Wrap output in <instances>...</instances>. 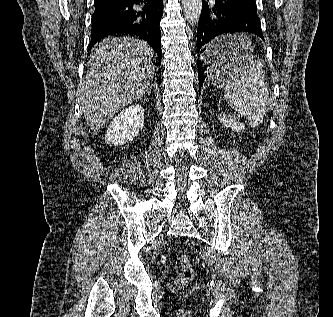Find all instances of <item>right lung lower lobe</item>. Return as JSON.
I'll use <instances>...</instances> for the list:
<instances>
[{
  "instance_id": "obj_1",
  "label": "right lung lower lobe",
  "mask_w": 333,
  "mask_h": 317,
  "mask_svg": "<svg viewBox=\"0 0 333 317\" xmlns=\"http://www.w3.org/2000/svg\"><path fill=\"white\" fill-rule=\"evenodd\" d=\"M135 4L143 5V8L138 10L134 7ZM162 14V0H115L108 3H95L89 50L101 39L123 33L147 41L161 58L159 23Z\"/></svg>"
}]
</instances>
